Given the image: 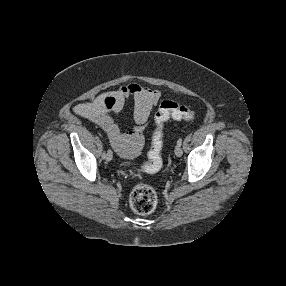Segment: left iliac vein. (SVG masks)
<instances>
[{
  "label": "left iliac vein",
  "mask_w": 286,
  "mask_h": 286,
  "mask_svg": "<svg viewBox=\"0 0 286 286\" xmlns=\"http://www.w3.org/2000/svg\"><path fill=\"white\" fill-rule=\"evenodd\" d=\"M174 153H175V155H176L177 157H181L182 154H183V150H182L181 146H178V145H177V146L175 147Z\"/></svg>",
  "instance_id": "obj_1"
}]
</instances>
